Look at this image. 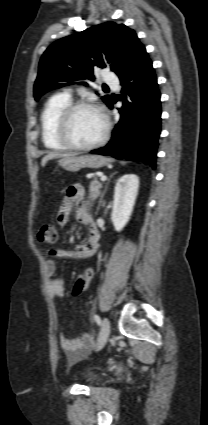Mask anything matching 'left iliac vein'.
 Wrapping results in <instances>:
<instances>
[{"label": "left iliac vein", "mask_w": 208, "mask_h": 425, "mask_svg": "<svg viewBox=\"0 0 208 425\" xmlns=\"http://www.w3.org/2000/svg\"><path fill=\"white\" fill-rule=\"evenodd\" d=\"M109 335H110V323L107 318H104L102 321V326H101L99 338L97 341V348H96L97 350H100L104 347V345L106 344L109 338Z\"/></svg>", "instance_id": "4c4485c4"}]
</instances>
